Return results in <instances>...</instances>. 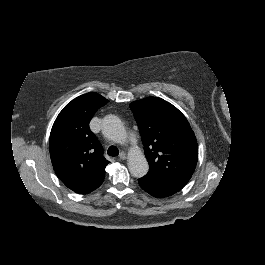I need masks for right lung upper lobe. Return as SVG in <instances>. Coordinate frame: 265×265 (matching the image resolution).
<instances>
[{
    "mask_svg": "<svg viewBox=\"0 0 265 265\" xmlns=\"http://www.w3.org/2000/svg\"><path fill=\"white\" fill-rule=\"evenodd\" d=\"M108 100L91 92L72 100L59 113L49 139L51 162L56 175L71 190L88 194L98 188L109 163L89 128L95 112Z\"/></svg>",
    "mask_w": 265,
    "mask_h": 265,
    "instance_id": "obj_1",
    "label": "right lung upper lobe"
}]
</instances>
